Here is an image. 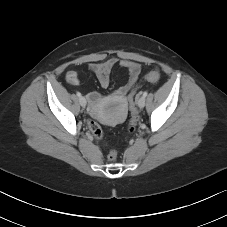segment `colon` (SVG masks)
<instances>
[{
	"mask_svg": "<svg viewBox=\"0 0 227 227\" xmlns=\"http://www.w3.org/2000/svg\"><path fill=\"white\" fill-rule=\"evenodd\" d=\"M145 79L150 82V83H157L160 79V74L158 73V71H150L146 74ZM137 93L136 91H133L130 95H129V103H130V110H131V119L129 122V126H128V130L130 132L134 131L135 126L139 120V115L138 112L135 108V99H136ZM89 130L92 133V135L97 138V139H101L103 137V130L100 126V124L94 120L89 121ZM117 158V152L116 150L112 149L109 151L108 155H107V159L109 161H114Z\"/></svg>",
	"mask_w": 227,
	"mask_h": 227,
	"instance_id": "1",
	"label": "colon"
}]
</instances>
